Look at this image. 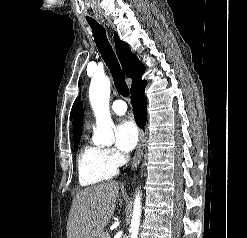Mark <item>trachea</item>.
I'll return each instance as SVG.
<instances>
[{
	"instance_id": "3493384b",
	"label": "trachea",
	"mask_w": 247,
	"mask_h": 238,
	"mask_svg": "<svg viewBox=\"0 0 247 238\" xmlns=\"http://www.w3.org/2000/svg\"><path fill=\"white\" fill-rule=\"evenodd\" d=\"M89 25L92 28L93 37L95 39L96 46L98 51L100 52L102 58L104 59L106 65L108 66L114 84L118 92L123 96L129 95V89L125 82L124 73L120 67V64L116 58V55L110 45L106 31L102 25H99L96 21H88Z\"/></svg>"
}]
</instances>
